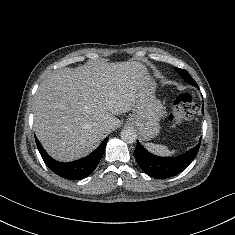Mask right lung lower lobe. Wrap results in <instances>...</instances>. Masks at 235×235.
<instances>
[{"mask_svg": "<svg viewBox=\"0 0 235 235\" xmlns=\"http://www.w3.org/2000/svg\"><path fill=\"white\" fill-rule=\"evenodd\" d=\"M38 150L45 162V164L57 175L69 179L80 180L90 175L97 167L100 159L102 158L108 138H106L102 144L94 150L90 155L68 163L57 162L52 159L41 146L38 139L35 137Z\"/></svg>", "mask_w": 235, "mask_h": 235, "instance_id": "obj_1", "label": "right lung lower lobe"}]
</instances>
